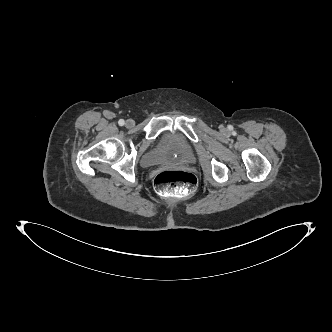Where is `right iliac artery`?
Segmentation results:
<instances>
[{
	"label": "right iliac artery",
	"instance_id": "1",
	"mask_svg": "<svg viewBox=\"0 0 332 332\" xmlns=\"http://www.w3.org/2000/svg\"><path fill=\"white\" fill-rule=\"evenodd\" d=\"M118 123H119L120 126H123V125L125 124V122H124L123 119H120V120L118 121Z\"/></svg>",
	"mask_w": 332,
	"mask_h": 332
}]
</instances>
